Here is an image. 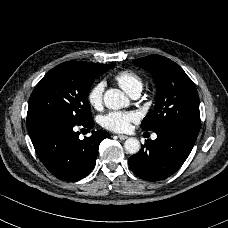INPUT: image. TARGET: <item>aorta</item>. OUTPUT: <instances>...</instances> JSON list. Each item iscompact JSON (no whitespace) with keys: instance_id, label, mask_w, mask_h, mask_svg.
Masks as SVG:
<instances>
[{"instance_id":"1","label":"aorta","mask_w":228,"mask_h":228,"mask_svg":"<svg viewBox=\"0 0 228 228\" xmlns=\"http://www.w3.org/2000/svg\"><path fill=\"white\" fill-rule=\"evenodd\" d=\"M104 102L107 108L118 110L128 108L131 105L130 98L119 89H109L104 95ZM125 150L135 154L140 150V142L135 138H128L124 143Z\"/></svg>"}]
</instances>
